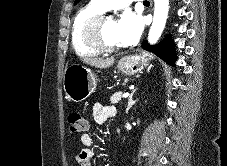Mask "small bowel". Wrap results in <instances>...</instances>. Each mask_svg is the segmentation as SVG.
<instances>
[{"label": "small bowel", "mask_w": 227, "mask_h": 166, "mask_svg": "<svg viewBox=\"0 0 227 166\" xmlns=\"http://www.w3.org/2000/svg\"><path fill=\"white\" fill-rule=\"evenodd\" d=\"M116 115L114 106H105L101 103L93 105V117L97 123H104L106 120ZM81 143L85 146L76 156V161L79 166H92L93 150L90 148L94 144V139L91 134L84 133L81 136Z\"/></svg>", "instance_id": "obj_1"}]
</instances>
